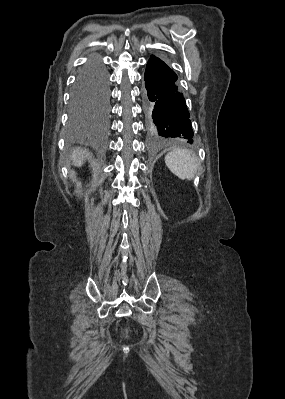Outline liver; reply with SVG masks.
<instances>
[{"label":"liver","instance_id":"6515ba94","mask_svg":"<svg viewBox=\"0 0 285 399\" xmlns=\"http://www.w3.org/2000/svg\"><path fill=\"white\" fill-rule=\"evenodd\" d=\"M89 156L90 154L88 150L75 148L73 149L70 158L75 166L80 167Z\"/></svg>","mask_w":285,"mask_h":399}]
</instances>
